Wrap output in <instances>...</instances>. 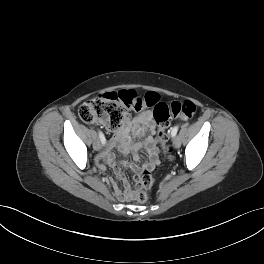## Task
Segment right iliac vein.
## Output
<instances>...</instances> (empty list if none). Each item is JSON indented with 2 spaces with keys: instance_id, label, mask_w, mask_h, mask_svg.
Wrapping results in <instances>:
<instances>
[{
  "instance_id": "63e3f726",
  "label": "right iliac vein",
  "mask_w": 264,
  "mask_h": 264,
  "mask_svg": "<svg viewBox=\"0 0 264 264\" xmlns=\"http://www.w3.org/2000/svg\"><path fill=\"white\" fill-rule=\"evenodd\" d=\"M94 149L95 150H100L101 149V143H100V141H95L94 142Z\"/></svg>"
}]
</instances>
